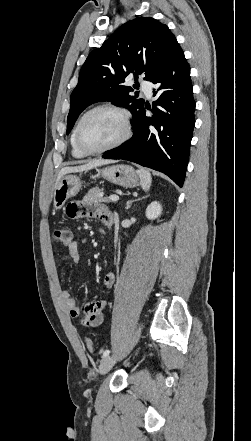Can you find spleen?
<instances>
[{
	"instance_id": "1",
	"label": "spleen",
	"mask_w": 251,
	"mask_h": 441,
	"mask_svg": "<svg viewBox=\"0 0 251 441\" xmlns=\"http://www.w3.org/2000/svg\"><path fill=\"white\" fill-rule=\"evenodd\" d=\"M138 175L140 177V185L144 191H148L152 184V177L148 170L146 169H139Z\"/></svg>"
}]
</instances>
